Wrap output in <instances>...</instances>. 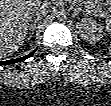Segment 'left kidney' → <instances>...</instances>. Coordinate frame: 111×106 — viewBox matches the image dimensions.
<instances>
[{"instance_id":"1","label":"left kidney","mask_w":111,"mask_h":106,"mask_svg":"<svg viewBox=\"0 0 111 106\" xmlns=\"http://www.w3.org/2000/svg\"><path fill=\"white\" fill-rule=\"evenodd\" d=\"M81 38L90 44L99 41L103 37V26L91 18H82L77 23Z\"/></svg>"}]
</instances>
